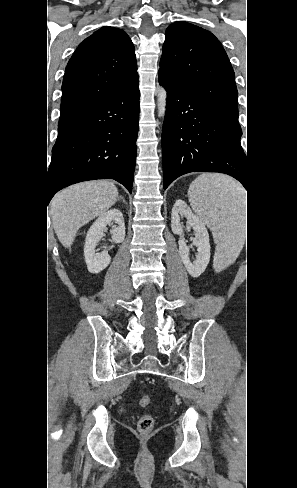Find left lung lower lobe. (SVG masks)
I'll use <instances>...</instances> for the list:
<instances>
[{"instance_id": "left-lung-lower-lobe-1", "label": "left lung lower lobe", "mask_w": 297, "mask_h": 488, "mask_svg": "<svg viewBox=\"0 0 297 488\" xmlns=\"http://www.w3.org/2000/svg\"><path fill=\"white\" fill-rule=\"evenodd\" d=\"M158 79L167 90L162 131L164 189L186 173L219 172L240 181L248 193L238 119L186 93L165 76L159 74Z\"/></svg>"}]
</instances>
